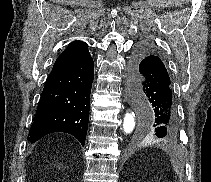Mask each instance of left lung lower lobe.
<instances>
[{"mask_svg":"<svg viewBox=\"0 0 211 182\" xmlns=\"http://www.w3.org/2000/svg\"><path fill=\"white\" fill-rule=\"evenodd\" d=\"M127 79L129 97L140 113L145 105L150 106L151 134L174 138L179 125L171 80L164 59L151 44L143 42L135 47Z\"/></svg>","mask_w":211,"mask_h":182,"instance_id":"0a47b994","label":"left lung lower lobe"}]
</instances>
